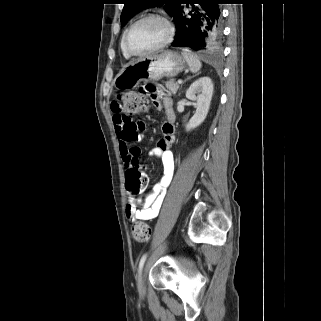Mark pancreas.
I'll list each match as a JSON object with an SVG mask.
<instances>
[{
    "label": "pancreas",
    "instance_id": "pancreas-1",
    "mask_svg": "<svg viewBox=\"0 0 321 321\" xmlns=\"http://www.w3.org/2000/svg\"><path fill=\"white\" fill-rule=\"evenodd\" d=\"M165 86L173 94H175L179 88V84L176 83L173 79L165 82Z\"/></svg>",
    "mask_w": 321,
    "mask_h": 321
}]
</instances>
